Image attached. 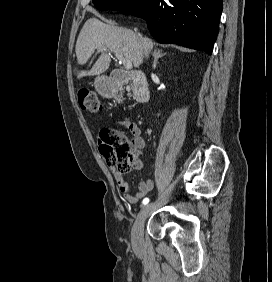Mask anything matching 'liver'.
I'll list each match as a JSON object with an SVG mask.
<instances>
[{"instance_id": "1", "label": "liver", "mask_w": 272, "mask_h": 282, "mask_svg": "<svg viewBox=\"0 0 272 282\" xmlns=\"http://www.w3.org/2000/svg\"><path fill=\"white\" fill-rule=\"evenodd\" d=\"M103 47V49H99ZM153 48L151 39L126 28L103 23L90 18L82 27L76 42V57L79 65H84L98 49L101 55L89 71H77V78L104 73L110 64L108 51L118 53L125 60L131 61L135 68L143 63L145 49Z\"/></svg>"}]
</instances>
